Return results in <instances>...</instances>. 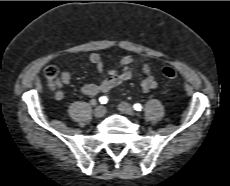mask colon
<instances>
[{"instance_id":"obj_1","label":"colon","mask_w":230,"mask_h":186,"mask_svg":"<svg viewBox=\"0 0 230 186\" xmlns=\"http://www.w3.org/2000/svg\"><path fill=\"white\" fill-rule=\"evenodd\" d=\"M45 78L50 86H54L55 78L57 75V70L53 66H48L45 69ZM163 75L169 79L174 80L177 78V72L171 67H165L163 69Z\"/></svg>"}]
</instances>
